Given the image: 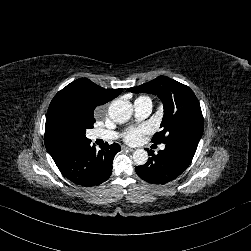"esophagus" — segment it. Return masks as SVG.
Wrapping results in <instances>:
<instances>
[{
  "instance_id": "1",
  "label": "esophagus",
  "mask_w": 251,
  "mask_h": 251,
  "mask_svg": "<svg viewBox=\"0 0 251 251\" xmlns=\"http://www.w3.org/2000/svg\"><path fill=\"white\" fill-rule=\"evenodd\" d=\"M122 150H129V151H133V148L127 147V146H122L121 147Z\"/></svg>"
}]
</instances>
